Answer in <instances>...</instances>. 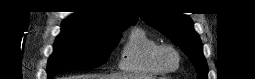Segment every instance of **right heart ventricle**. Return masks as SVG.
I'll return each instance as SVG.
<instances>
[{
    "label": "right heart ventricle",
    "mask_w": 255,
    "mask_h": 79,
    "mask_svg": "<svg viewBox=\"0 0 255 79\" xmlns=\"http://www.w3.org/2000/svg\"><path fill=\"white\" fill-rule=\"evenodd\" d=\"M159 45L160 43L144 29H133L122 48L120 69L142 75L164 74L153 60L154 51Z\"/></svg>",
    "instance_id": "1"
}]
</instances>
